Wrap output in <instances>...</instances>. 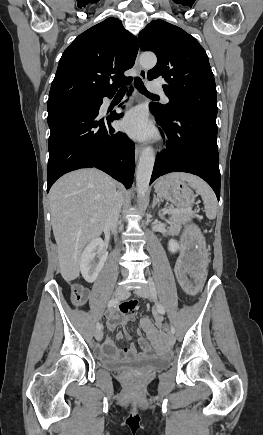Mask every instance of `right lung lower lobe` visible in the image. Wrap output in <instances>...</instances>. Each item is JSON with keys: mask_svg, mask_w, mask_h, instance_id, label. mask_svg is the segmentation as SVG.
Wrapping results in <instances>:
<instances>
[{"mask_svg": "<svg viewBox=\"0 0 263 435\" xmlns=\"http://www.w3.org/2000/svg\"><path fill=\"white\" fill-rule=\"evenodd\" d=\"M102 99L94 106L66 108L48 114L51 132L47 192L63 174L92 167L106 172L126 188L131 187L135 147L124 133L111 127V121L120 119L123 114L99 115Z\"/></svg>", "mask_w": 263, "mask_h": 435, "instance_id": "1", "label": "right lung lower lobe"}]
</instances>
